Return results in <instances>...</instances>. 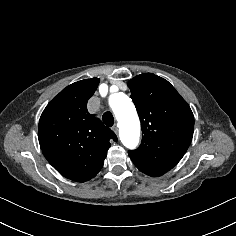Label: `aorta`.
I'll return each mask as SVG.
<instances>
[{
  "label": "aorta",
  "instance_id": "1",
  "mask_svg": "<svg viewBox=\"0 0 236 236\" xmlns=\"http://www.w3.org/2000/svg\"><path fill=\"white\" fill-rule=\"evenodd\" d=\"M109 105L118 121L121 142L134 149L139 143L140 122L132 100L124 93H115L109 97Z\"/></svg>",
  "mask_w": 236,
  "mask_h": 236
}]
</instances>
